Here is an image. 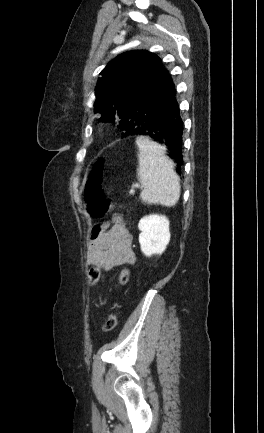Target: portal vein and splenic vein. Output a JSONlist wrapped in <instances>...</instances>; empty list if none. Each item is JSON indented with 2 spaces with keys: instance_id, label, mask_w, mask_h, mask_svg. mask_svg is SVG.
<instances>
[{
  "instance_id": "obj_1",
  "label": "portal vein and splenic vein",
  "mask_w": 264,
  "mask_h": 433,
  "mask_svg": "<svg viewBox=\"0 0 264 433\" xmlns=\"http://www.w3.org/2000/svg\"><path fill=\"white\" fill-rule=\"evenodd\" d=\"M135 187L139 188L140 185L136 183V184H135ZM130 194H134V189H132V190L130 191Z\"/></svg>"
}]
</instances>
